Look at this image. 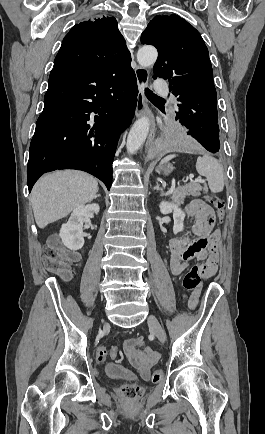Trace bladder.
<instances>
[{
    "instance_id": "bladder-1",
    "label": "bladder",
    "mask_w": 265,
    "mask_h": 434,
    "mask_svg": "<svg viewBox=\"0 0 265 434\" xmlns=\"http://www.w3.org/2000/svg\"><path fill=\"white\" fill-rule=\"evenodd\" d=\"M105 374L113 379H133V375L125 367L115 364L108 363L104 366Z\"/></svg>"
}]
</instances>
